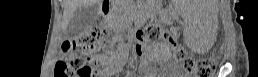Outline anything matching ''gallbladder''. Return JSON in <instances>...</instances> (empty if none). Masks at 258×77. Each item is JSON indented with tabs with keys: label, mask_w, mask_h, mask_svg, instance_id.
Returning a JSON list of instances; mask_svg holds the SVG:
<instances>
[{
	"label": "gallbladder",
	"mask_w": 258,
	"mask_h": 77,
	"mask_svg": "<svg viewBox=\"0 0 258 77\" xmlns=\"http://www.w3.org/2000/svg\"><path fill=\"white\" fill-rule=\"evenodd\" d=\"M100 8L98 4L79 8L67 26V36L74 38L82 35L98 18Z\"/></svg>",
	"instance_id": "gallbladder-1"
}]
</instances>
